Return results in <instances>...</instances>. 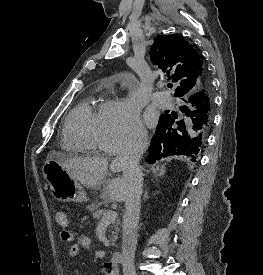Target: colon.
I'll list each match as a JSON object with an SVG mask.
<instances>
[{"instance_id":"5ec220e1","label":"colon","mask_w":263,"mask_h":275,"mask_svg":"<svg viewBox=\"0 0 263 275\" xmlns=\"http://www.w3.org/2000/svg\"><path fill=\"white\" fill-rule=\"evenodd\" d=\"M55 219L56 222L59 226L65 228L69 224V219L65 211L63 210H58L55 214ZM62 236L64 237L65 240H68L70 238V234L68 230H63L62 231Z\"/></svg>"}]
</instances>
